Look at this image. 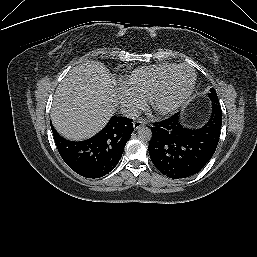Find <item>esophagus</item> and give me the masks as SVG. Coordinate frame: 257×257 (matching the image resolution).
<instances>
[{
    "instance_id": "esophagus-1",
    "label": "esophagus",
    "mask_w": 257,
    "mask_h": 257,
    "mask_svg": "<svg viewBox=\"0 0 257 257\" xmlns=\"http://www.w3.org/2000/svg\"><path fill=\"white\" fill-rule=\"evenodd\" d=\"M145 124L144 120L138 119L133 122L134 129H138Z\"/></svg>"
}]
</instances>
